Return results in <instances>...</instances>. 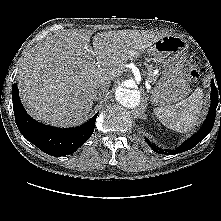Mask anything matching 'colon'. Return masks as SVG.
Listing matches in <instances>:
<instances>
[{"label": "colon", "mask_w": 221, "mask_h": 221, "mask_svg": "<svg viewBox=\"0 0 221 221\" xmlns=\"http://www.w3.org/2000/svg\"><path fill=\"white\" fill-rule=\"evenodd\" d=\"M198 65H199V60L196 57L191 56L188 59L186 74L190 80H196L199 77Z\"/></svg>", "instance_id": "1"}]
</instances>
